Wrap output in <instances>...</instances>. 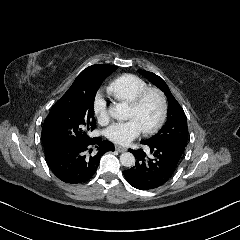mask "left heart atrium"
<instances>
[{"mask_svg": "<svg viewBox=\"0 0 240 240\" xmlns=\"http://www.w3.org/2000/svg\"><path fill=\"white\" fill-rule=\"evenodd\" d=\"M141 130L137 121L130 119L111 126L106 131V137L116 144L127 145L140 134Z\"/></svg>", "mask_w": 240, "mask_h": 240, "instance_id": "39dd6f15", "label": "left heart atrium"}]
</instances>
